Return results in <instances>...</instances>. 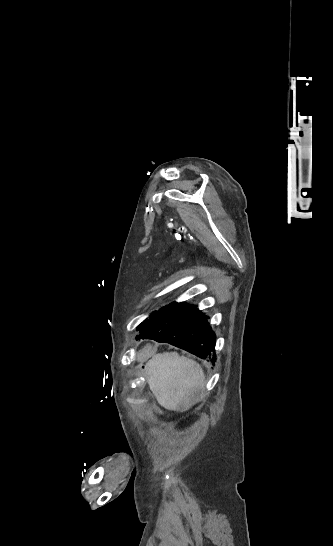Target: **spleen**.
Returning <instances> with one entry per match:
<instances>
[{"instance_id":"obj_1","label":"spleen","mask_w":333,"mask_h":546,"mask_svg":"<svg viewBox=\"0 0 333 546\" xmlns=\"http://www.w3.org/2000/svg\"><path fill=\"white\" fill-rule=\"evenodd\" d=\"M144 375L158 403L179 412L196 403L205 383L200 364L176 352L154 355L146 363Z\"/></svg>"}]
</instances>
